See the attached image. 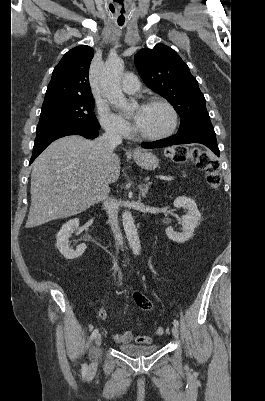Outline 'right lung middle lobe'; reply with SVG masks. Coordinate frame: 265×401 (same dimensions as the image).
Segmentation results:
<instances>
[{
    "label": "right lung middle lobe",
    "instance_id": "dd1d6c3e",
    "mask_svg": "<svg viewBox=\"0 0 265 401\" xmlns=\"http://www.w3.org/2000/svg\"><path fill=\"white\" fill-rule=\"evenodd\" d=\"M93 110V97L64 99L43 105L36 133L56 126H77L99 130L100 125Z\"/></svg>",
    "mask_w": 265,
    "mask_h": 401
}]
</instances>
